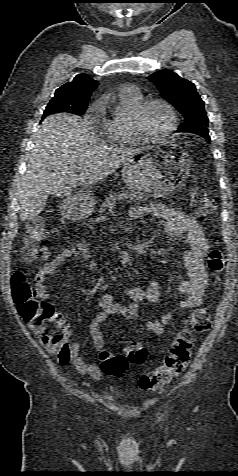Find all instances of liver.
Instances as JSON below:
<instances>
[{"label":"liver","mask_w":238,"mask_h":476,"mask_svg":"<svg viewBox=\"0 0 238 476\" xmlns=\"http://www.w3.org/2000/svg\"><path fill=\"white\" fill-rule=\"evenodd\" d=\"M142 150L120 149L101 142L80 116L46 117L21 180L20 220L38 216L50 194L70 196L78 184L87 187L100 182Z\"/></svg>","instance_id":"obj_1"}]
</instances>
